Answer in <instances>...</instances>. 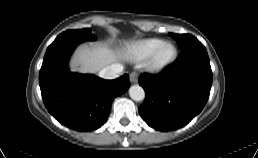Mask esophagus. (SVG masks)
I'll return each mask as SVG.
<instances>
[{
	"instance_id": "obj_1",
	"label": "esophagus",
	"mask_w": 258,
	"mask_h": 158,
	"mask_svg": "<svg viewBox=\"0 0 258 158\" xmlns=\"http://www.w3.org/2000/svg\"><path fill=\"white\" fill-rule=\"evenodd\" d=\"M138 78H139V75L137 72H133L130 74V82L131 83H137Z\"/></svg>"
}]
</instances>
